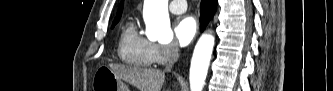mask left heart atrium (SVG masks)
I'll list each match as a JSON object with an SVG mask.
<instances>
[{"mask_svg": "<svg viewBox=\"0 0 333 91\" xmlns=\"http://www.w3.org/2000/svg\"><path fill=\"white\" fill-rule=\"evenodd\" d=\"M197 32L196 20L191 16L180 18L175 25V36L181 46H187Z\"/></svg>", "mask_w": 333, "mask_h": 91, "instance_id": "obj_1", "label": "left heart atrium"}]
</instances>
